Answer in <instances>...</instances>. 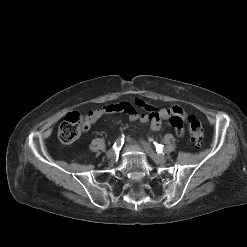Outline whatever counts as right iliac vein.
<instances>
[{"instance_id": "right-iliac-vein-1", "label": "right iliac vein", "mask_w": 247, "mask_h": 247, "mask_svg": "<svg viewBox=\"0 0 247 247\" xmlns=\"http://www.w3.org/2000/svg\"><path fill=\"white\" fill-rule=\"evenodd\" d=\"M114 155H115V150L113 148L109 149L106 153L107 158H112Z\"/></svg>"}]
</instances>
